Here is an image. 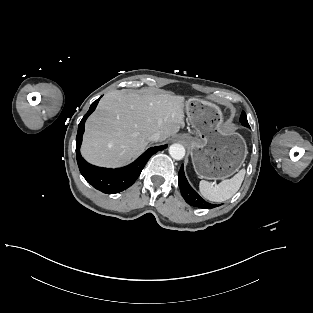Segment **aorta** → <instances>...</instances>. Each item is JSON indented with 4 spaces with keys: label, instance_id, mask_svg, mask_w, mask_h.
I'll return each mask as SVG.
<instances>
[{
    "label": "aorta",
    "instance_id": "obj_1",
    "mask_svg": "<svg viewBox=\"0 0 313 313\" xmlns=\"http://www.w3.org/2000/svg\"><path fill=\"white\" fill-rule=\"evenodd\" d=\"M169 154L175 160H181L185 156V148L181 144H172L169 147Z\"/></svg>",
    "mask_w": 313,
    "mask_h": 313
}]
</instances>
